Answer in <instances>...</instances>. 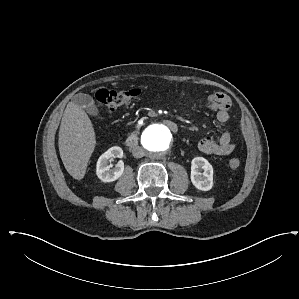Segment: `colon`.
<instances>
[{
	"mask_svg": "<svg viewBox=\"0 0 299 299\" xmlns=\"http://www.w3.org/2000/svg\"><path fill=\"white\" fill-rule=\"evenodd\" d=\"M142 91L140 88L129 90L101 89L97 93V100L106 109L114 110L128 104L131 100L139 96ZM229 166L232 169H238L241 166L240 159L232 158L229 161Z\"/></svg>",
	"mask_w": 299,
	"mask_h": 299,
	"instance_id": "obj_1",
	"label": "colon"
}]
</instances>
